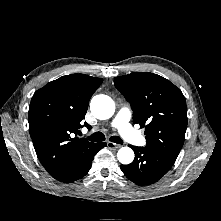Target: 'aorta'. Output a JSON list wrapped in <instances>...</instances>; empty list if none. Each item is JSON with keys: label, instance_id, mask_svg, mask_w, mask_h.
Returning a JSON list of instances; mask_svg holds the SVG:
<instances>
[{"label": "aorta", "instance_id": "1", "mask_svg": "<svg viewBox=\"0 0 221 221\" xmlns=\"http://www.w3.org/2000/svg\"><path fill=\"white\" fill-rule=\"evenodd\" d=\"M90 109L97 119L106 120L113 116L115 104L107 95H96L91 100ZM117 158L120 163L128 165L134 160V152L129 147H122L117 152Z\"/></svg>", "mask_w": 221, "mask_h": 221}]
</instances>
